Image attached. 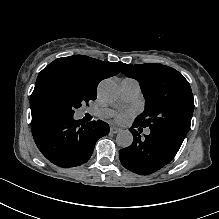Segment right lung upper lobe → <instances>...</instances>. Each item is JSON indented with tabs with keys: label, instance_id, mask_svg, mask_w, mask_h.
<instances>
[{
	"label": "right lung upper lobe",
	"instance_id": "obj_1",
	"mask_svg": "<svg viewBox=\"0 0 219 219\" xmlns=\"http://www.w3.org/2000/svg\"><path fill=\"white\" fill-rule=\"evenodd\" d=\"M125 66L123 63L103 62L84 55L58 58L40 73L39 77L50 71H57L78 80L88 91L96 96L100 81L118 74Z\"/></svg>",
	"mask_w": 219,
	"mask_h": 219
}]
</instances>
